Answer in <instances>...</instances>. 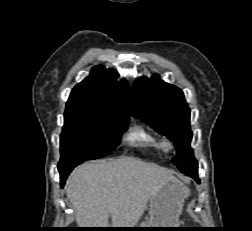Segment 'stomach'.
<instances>
[{"label":"stomach","instance_id":"obj_1","mask_svg":"<svg viewBox=\"0 0 252 231\" xmlns=\"http://www.w3.org/2000/svg\"><path fill=\"white\" fill-rule=\"evenodd\" d=\"M189 192L188 187L176 178L163 184L149 201V221L140 228H179L176 227L178 217Z\"/></svg>","mask_w":252,"mask_h":231}]
</instances>
